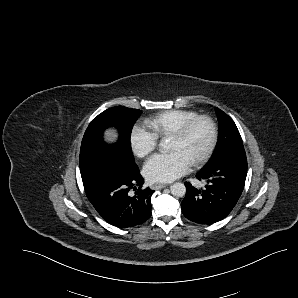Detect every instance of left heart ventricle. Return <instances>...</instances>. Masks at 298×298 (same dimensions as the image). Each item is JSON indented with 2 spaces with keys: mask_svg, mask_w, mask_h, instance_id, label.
<instances>
[{
  "mask_svg": "<svg viewBox=\"0 0 298 298\" xmlns=\"http://www.w3.org/2000/svg\"><path fill=\"white\" fill-rule=\"evenodd\" d=\"M207 139V127L204 122H200L192 127L183 136L165 142L163 149L166 151H174L189 165L191 160L198 155L204 148Z\"/></svg>",
  "mask_w": 298,
  "mask_h": 298,
  "instance_id": "b2bd125f",
  "label": "left heart ventricle"
}]
</instances>
